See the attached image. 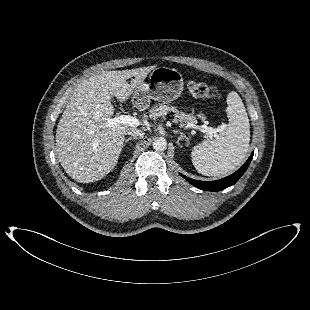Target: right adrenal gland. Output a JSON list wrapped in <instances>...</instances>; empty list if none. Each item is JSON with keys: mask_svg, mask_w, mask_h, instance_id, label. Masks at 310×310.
<instances>
[{"mask_svg": "<svg viewBox=\"0 0 310 310\" xmlns=\"http://www.w3.org/2000/svg\"><path fill=\"white\" fill-rule=\"evenodd\" d=\"M135 139H136L135 137L134 138L130 137V138L126 139L123 146H125L130 140H135Z\"/></svg>", "mask_w": 310, "mask_h": 310, "instance_id": "right-adrenal-gland-1", "label": "right adrenal gland"}]
</instances>
